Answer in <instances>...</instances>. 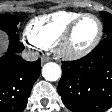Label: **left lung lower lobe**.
I'll return each instance as SVG.
<instances>
[{
    "instance_id": "left-lung-lower-lobe-1",
    "label": "left lung lower lobe",
    "mask_w": 112,
    "mask_h": 112,
    "mask_svg": "<svg viewBox=\"0 0 112 112\" xmlns=\"http://www.w3.org/2000/svg\"><path fill=\"white\" fill-rule=\"evenodd\" d=\"M58 93L72 112H104L112 106V35L88 55L62 62Z\"/></svg>"
}]
</instances>
